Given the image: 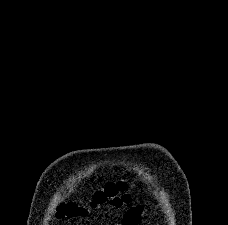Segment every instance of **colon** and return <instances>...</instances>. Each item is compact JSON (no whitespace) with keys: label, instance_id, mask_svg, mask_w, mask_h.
Returning a JSON list of instances; mask_svg holds the SVG:
<instances>
[{"label":"colon","instance_id":"5ec220e1","mask_svg":"<svg viewBox=\"0 0 228 225\" xmlns=\"http://www.w3.org/2000/svg\"><path fill=\"white\" fill-rule=\"evenodd\" d=\"M132 186L123 181L112 182L100 188L86 203L73 201L62 203L57 208L58 219H73L86 215L91 209L110 202L116 206H124L130 203L129 190Z\"/></svg>","mask_w":228,"mask_h":225}]
</instances>
